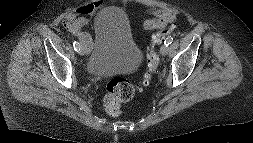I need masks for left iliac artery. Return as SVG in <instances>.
I'll use <instances>...</instances> for the list:
<instances>
[{"mask_svg":"<svg viewBox=\"0 0 253 143\" xmlns=\"http://www.w3.org/2000/svg\"><path fill=\"white\" fill-rule=\"evenodd\" d=\"M173 42V37H168L166 40H165V42H164V44L166 45V46H169L171 43Z\"/></svg>","mask_w":253,"mask_h":143,"instance_id":"44dca946","label":"left iliac artery"}]
</instances>
